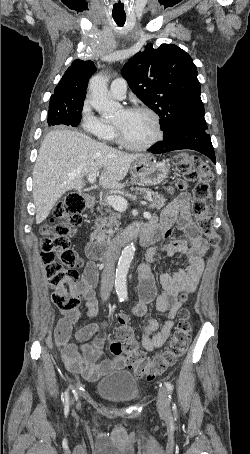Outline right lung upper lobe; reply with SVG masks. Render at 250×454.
<instances>
[{
    "instance_id": "1",
    "label": "right lung upper lobe",
    "mask_w": 250,
    "mask_h": 454,
    "mask_svg": "<svg viewBox=\"0 0 250 454\" xmlns=\"http://www.w3.org/2000/svg\"><path fill=\"white\" fill-rule=\"evenodd\" d=\"M95 72L96 67L92 61L74 60L56 86L51 98H64L71 101L85 99L88 79Z\"/></svg>"
}]
</instances>
